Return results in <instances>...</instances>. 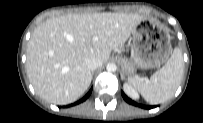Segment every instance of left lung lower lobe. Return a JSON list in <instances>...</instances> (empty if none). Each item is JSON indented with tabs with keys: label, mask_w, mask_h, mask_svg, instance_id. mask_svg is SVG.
I'll list each match as a JSON object with an SVG mask.
<instances>
[{
	"label": "left lung lower lobe",
	"mask_w": 203,
	"mask_h": 123,
	"mask_svg": "<svg viewBox=\"0 0 203 123\" xmlns=\"http://www.w3.org/2000/svg\"><path fill=\"white\" fill-rule=\"evenodd\" d=\"M121 93H122V96H123V98L125 99L126 102H128V103H130L132 105H135V106L138 105L136 102L129 99L123 92H121ZM139 106L144 107V108H152V107H146V106H142V105H139Z\"/></svg>",
	"instance_id": "1"
}]
</instances>
